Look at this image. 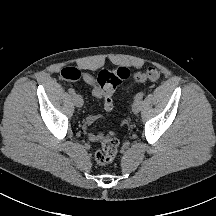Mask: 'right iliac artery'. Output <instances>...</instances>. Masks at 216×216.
Segmentation results:
<instances>
[{
    "mask_svg": "<svg viewBox=\"0 0 216 216\" xmlns=\"http://www.w3.org/2000/svg\"><path fill=\"white\" fill-rule=\"evenodd\" d=\"M68 92H69V94L72 95V96L75 95V91H74V89H72V88H70V89L68 90Z\"/></svg>",
    "mask_w": 216,
    "mask_h": 216,
    "instance_id": "obj_1",
    "label": "right iliac artery"
}]
</instances>
